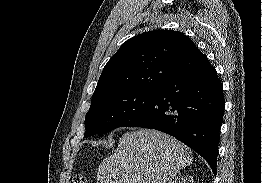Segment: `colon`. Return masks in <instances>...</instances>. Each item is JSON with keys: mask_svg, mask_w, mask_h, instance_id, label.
<instances>
[{"mask_svg": "<svg viewBox=\"0 0 262 183\" xmlns=\"http://www.w3.org/2000/svg\"><path fill=\"white\" fill-rule=\"evenodd\" d=\"M74 183H89V179L85 175H79L75 178Z\"/></svg>", "mask_w": 262, "mask_h": 183, "instance_id": "1", "label": "colon"}]
</instances>
